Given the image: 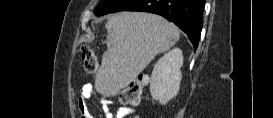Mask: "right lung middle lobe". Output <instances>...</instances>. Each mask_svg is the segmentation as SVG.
I'll use <instances>...</instances> for the list:
<instances>
[{
    "label": "right lung middle lobe",
    "mask_w": 273,
    "mask_h": 118,
    "mask_svg": "<svg viewBox=\"0 0 273 118\" xmlns=\"http://www.w3.org/2000/svg\"><path fill=\"white\" fill-rule=\"evenodd\" d=\"M124 1L125 0H101L99 5L94 10V13L97 16L109 14Z\"/></svg>",
    "instance_id": "right-lung-middle-lobe-1"
}]
</instances>
